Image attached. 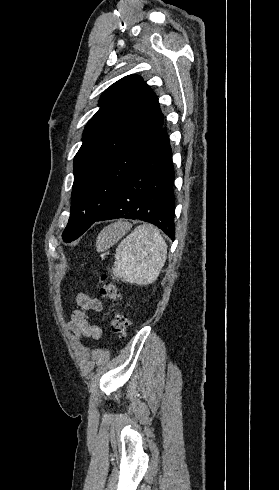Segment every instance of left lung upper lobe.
Listing matches in <instances>:
<instances>
[{"label": "left lung upper lobe", "mask_w": 279, "mask_h": 490, "mask_svg": "<svg viewBox=\"0 0 279 490\" xmlns=\"http://www.w3.org/2000/svg\"><path fill=\"white\" fill-rule=\"evenodd\" d=\"M88 121L74 157L71 215L62 234L80 237L110 207L139 157L163 127L157 96L138 75L112 84Z\"/></svg>", "instance_id": "5c2ea615"}]
</instances>
